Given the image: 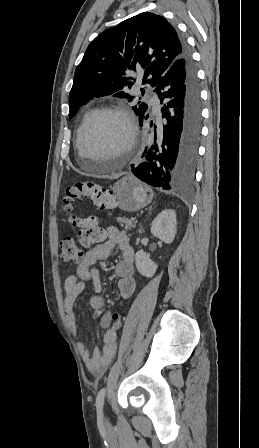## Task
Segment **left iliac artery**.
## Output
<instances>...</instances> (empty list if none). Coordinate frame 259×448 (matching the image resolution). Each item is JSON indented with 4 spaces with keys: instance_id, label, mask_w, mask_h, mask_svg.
<instances>
[{
    "instance_id": "44dca946",
    "label": "left iliac artery",
    "mask_w": 259,
    "mask_h": 448,
    "mask_svg": "<svg viewBox=\"0 0 259 448\" xmlns=\"http://www.w3.org/2000/svg\"><path fill=\"white\" fill-rule=\"evenodd\" d=\"M105 394H106L105 388L100 389V391L97 394L96 407L100 410L103 408L104 405Z\"/></svg>"
}]
</instances>
